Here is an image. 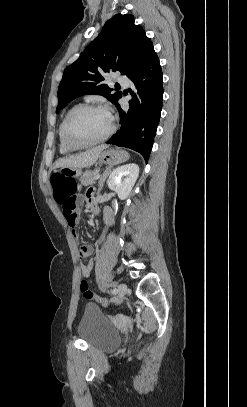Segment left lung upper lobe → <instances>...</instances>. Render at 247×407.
Segmentation results:
<instances>
[{
    "label": "left lung upper lobe",
    "mask_w": 247,
    "mask_h": 407,
    "mask_svg": "<svg viewBox=\"0 0 247 407\" xmlns=\"http://www.w3.org/2000/svg\"><path fill=\"white\" fill-rule=\"evenodd\" d=\"M153 49L144 29L135 25L133 15L116 14L80 57L65 69L58 88L56 112L84 94L105 96L116 105L122 93H112L113 89L102 84L103 74L120 71L129 77Z\"/></svg>",
    "instance_id": "1"
}]
</instances>
